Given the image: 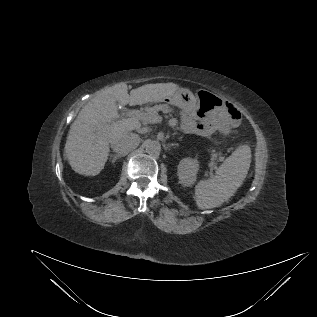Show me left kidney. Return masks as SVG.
<instances>
[{"instance_id":"1","label":"left kidney","mask_w":317,"mask_h":317,"mask_svg":"<svg viewBox=\"0 0 317 317\" xmlns=\"http://www.w3.org/2000/svg\"><path fill=\"white\" fill-rule=\"evenodd\" d=\"M199 170V162L192 158H184L178 165L179 182L183 186H191L196 181L197 172Z\"/></svg>"}]
</instances>
